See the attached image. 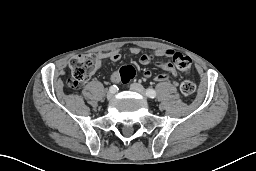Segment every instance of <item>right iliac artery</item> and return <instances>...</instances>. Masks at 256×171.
I'll return each instance as SVG.
<instances>
[{
	"mask_svg": "<svg viewBox=\"0 0 256 171\" xmlns=\"http://www.w3.org/2000/svg\"><path fill=\"white\" fill-rule=\"evenodd\" d=\"M118 88L116 87V85H113V86H111L110 87V91H112V92H116V90H117Z\"/></svg>",
	"mask_w": 256,
	"mask_h": 171,
	"instance_id": "1",
	"label": "right iliac artery"
}]
</instances>
